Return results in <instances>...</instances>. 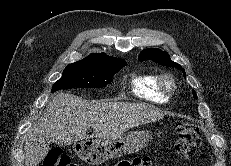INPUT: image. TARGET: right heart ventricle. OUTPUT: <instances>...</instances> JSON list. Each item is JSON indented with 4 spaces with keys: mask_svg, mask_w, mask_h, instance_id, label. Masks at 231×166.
<instances>
[{
    "mask_svg": "<svg viewBox=\"0 0 231 166\" xmlns=\"http://www.w3.org/2000/svg\"><path fill=\"white\" fill-rule=\"evenodd\" d=\"M157 79L158 75L155 73L135 74L131 79L132 93L137 98L145 101L165 103L168 98L159 91Z\"/></svg>",
    "mask_w": 231,
    "mask_h": 166,
    "instance_id": "e07e8e85",
    "label": "right heart ventricle"
}]
</instances>
